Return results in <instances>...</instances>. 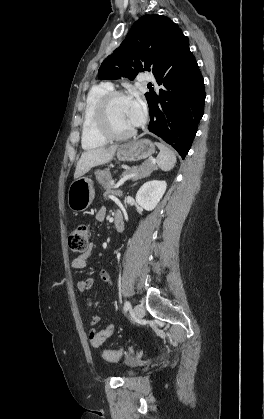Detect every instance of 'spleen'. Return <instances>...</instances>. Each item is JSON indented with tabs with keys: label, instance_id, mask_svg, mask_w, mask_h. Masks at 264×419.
I'll list each match as a JSON object with an SVG mask.
<instances>
[{
	"label": "spleen",
	"instance_id": "spleen-1",
	"mask_svg": "<svg viewBox=\"0 0 264 419\" xmlns=\"http://www.w3.org/2000/svg\"><path fill=\"white\" fill-rule=\"evenodd\" d=\"M159 154L157 156V164L163 171H170L176 164V156L174 152L162 143H156Z\"/></svg>",
	"mask_w": 264,
	"mask_h": 419
}]
</instances>
